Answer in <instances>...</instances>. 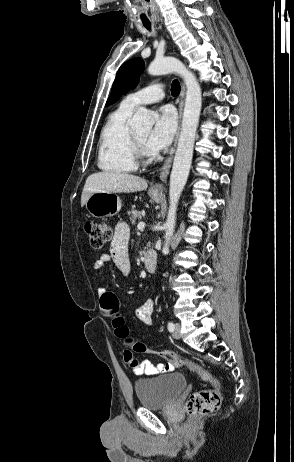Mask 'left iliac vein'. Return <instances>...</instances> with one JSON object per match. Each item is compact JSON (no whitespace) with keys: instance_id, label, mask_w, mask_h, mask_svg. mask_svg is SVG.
<instances>
[{"instance_id":"left-iliac-vein-1","label":"left iliac vein","mask_w":294,"mask_h":462,"mask_svg":"<svg viewBox=\"0 0 294 462\" xmlns=\"http://www.w3.org/2000/svg\"><path fill=\"white\" fill-rule=\"evenodd\" d=\"M180 330H181L180 324H179V323H176V324L174 325V330H173V333H172V335H173V337H174L175 339H180V337H181Z\"/></svg>"}]
</instances>
